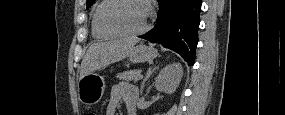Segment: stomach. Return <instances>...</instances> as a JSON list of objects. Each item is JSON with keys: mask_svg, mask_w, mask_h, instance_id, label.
Instances as JSON below:
<instances>
[{"mask_svg": "<svg viewBox=\"0 0 285 115\" xmlns=\"http://www.w3.org/2000/svg\"><path fill=\"white\" fill-rule=\"evenodd\" d=\"M157 55L158 53L153 47L139 44L132 49L128 57L133 63H143L154 59ZM105 87L104 78L91 72L79 79V100L88 106L95 105L101 100Z\"/></svg>", "mask_w": 285, "mask_h": 115, "instance_id": "stomach-1", "label": "stomach"}]
</instances>
